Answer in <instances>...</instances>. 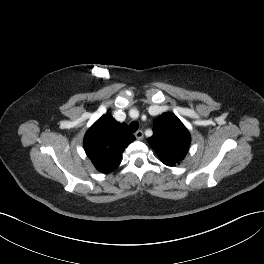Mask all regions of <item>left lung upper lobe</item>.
Here are the masks:
<instances>
[{"instance_id":"obj_1","label":"left lung upper lobe","mask_w":264,"mask_h":264,"mask_svg":"<svg viewBox=\"0 0 264 264\" xmlns=\"http://www.w3.org/2000/svg\"><path fill=\"white\" fill-rule=\"evenodd\" d=\"M153 136L148 143L167 166H175L188 152L191 136L183 123L172 113H164L154 120Z\"/></svg>"}]
</instances>
